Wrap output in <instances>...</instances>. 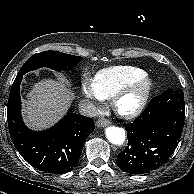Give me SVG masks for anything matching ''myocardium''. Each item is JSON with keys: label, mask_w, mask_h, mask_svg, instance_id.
I'll return each instance as SVG.
<instances>
[{"label": "myocardium", "mask_w": 194, "mask_h": 194, "mask_svg": "<svg viewBox=\"0 0 194 194\" xmlns=\"http://www.w3.org/2000/svg\"><path fill=\"white\" fill-rule=\"evenodd\" d=\"M141 87H143V91L137 105L131 110L122 109L120 106L121 101L126 96ZM154 87L155 84L153 79L147 74L125 84L111 97V105L113 110L118 116L124 119H133L138 117L145 110L153 93Z\"/></svg>", "instance_id": "myocardium-1"}]
</instances>
